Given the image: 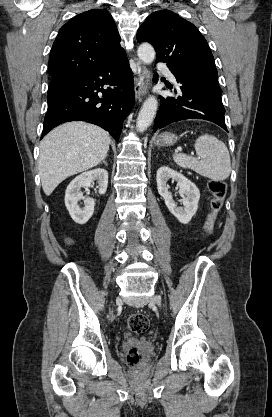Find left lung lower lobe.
Here are the masks:
<instances>
[{
	"mask_svg": "<svg viewBox=\"0 0 272 417\" xmlns=\"http://www.w3.org/2000/svg\"><path fill=\"white\" fill-rule=\"evenodd\" d=\"M178 85L168 86L177 94L176 98L161 97V106L155 118L153 130L161 129L173 122L186 119H204L216 123L228 131L225 125V109L221 93L207 86L173 72ZM154 82L158 81L155 74Z\"/></svg>",
	"mask_w": 272,
	"mask_h": 417,
	"instance_id": "obj_1",
	"label": "left lung lower lobe"
}]
</instances>
